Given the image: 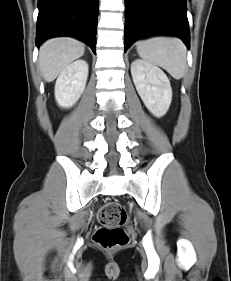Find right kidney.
I'll use <instances>...</instances> for the list:
<instances>
[{
	"instance_id": "1",
	"label": "right kidney",
	"mask_w": 231,
	"mask_h": 281,
	"mask_svg": "<svg viewBox=\"0 0 231 281\" xmlns=\"http://www.w3.org/2000/svg\"><path fill=\"white\" fill-rule=\"evenodd\" d=\"M88 78V64L77 60L67 66L59 75L55 84V99L63 108L72 107L84 92Z\"/></svg>"
}]
</instances>
